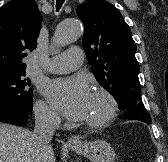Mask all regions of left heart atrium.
<instances>
[{
	"instance_id": "39dd6f15",
	"label": "left heart atrium",
	"mask_w": 168,
	"mask_h": 162,
	"mask_svg": "<svg viewBox=\"0 0 168 162\" xmlns=\"http://www.w3.org/2000/svg\"><path fill=\"white\" fill-rule=\"evenodd\" d=\"M45 94L56 109L72 120L85 118L92 95L82 76L52 80Z\"/></svg>"
}]
</instances>
